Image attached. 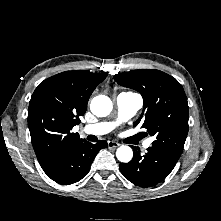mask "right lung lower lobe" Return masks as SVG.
Here are the masks:
<instances>
[{"label":"right lung lower lobe","mask_w":221,"mask_h":221,"mask_svg":"<svg viewBox=\"0 0 221 221\" xmlns=\"http://www.w3.org/2000/svg\"><path fill=\"white\" fill-rule=\"evenodd\" d=\"M107 147L104 140L97 144L86 140L77 144L63 155L42 166L44 172L55 182L69 185L76 183L87 175L96 154Z\"/></svg>","instance_id":"right-lung-lower-lobe-1"}]
</instances>
